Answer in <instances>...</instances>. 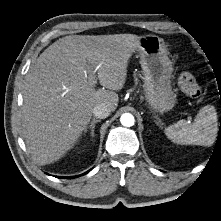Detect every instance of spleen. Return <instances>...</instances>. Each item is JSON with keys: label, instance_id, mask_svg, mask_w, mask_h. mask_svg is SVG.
<instances>
[{"label": "spleen", "instance_id": "obj_1", "mask_svg": "<svg viewBox=\"0 0 221 221\" xmlns=\"http://www.w3.org/2000/svg\"><path fill=\"white\" fill-rule=\"evenodd\" d=\"M216 132L217 114L212 106L203 107L191 124L182 119L165 129L170 140L182 145H209Z\"/></svg>", "mask_w": 221, "mask_h": 221}]
</instances>
